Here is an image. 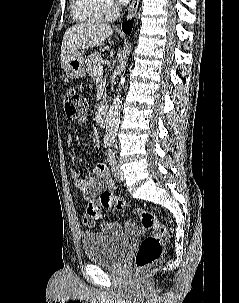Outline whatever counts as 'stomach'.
I'll return each instance as SVG.
<instances>
[{"label":"stomach","instance_id":"1","mask_svg":"<svg viewBox=\"0 0 239 303\" xmlns=\"http://www.w3.org/2000/svg\"><path fill=\"white\" fill-rule=\"evenodd\" d=\"M64 71L68 77L82 78L85 75V61L81 53L71 54L64 63Z\"/></svg>","mask_w":239,"mask_h":303}]
</instances>
